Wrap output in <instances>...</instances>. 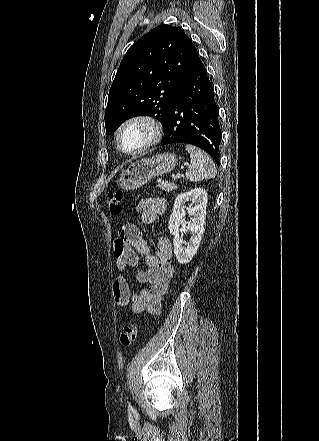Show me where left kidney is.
<instances>
[{
  "mask_svg": "<svg viewBox=\"0 0 319 441\" xmlns=\"http://www.w3.org/2000/svg\"><path fill=\"white\" fill-rule=\"evenodd\" d=\"M191 203L189 207L186 204ZM207 193L202 188L181 193L175 199L169 220V231L174 236V254L181 264L189 263L196 254L204 232L206 217ZM191 215L190 222H185L186 214ZM180 225L183 231L191 232V237L183 247L184 241L179 235Z\"/></svg>",
  "mask_w": 319,
  "mask_h": 441,
  "instance_id": "5707ae66",
  "label": "left kidney"
}]
</instances>
